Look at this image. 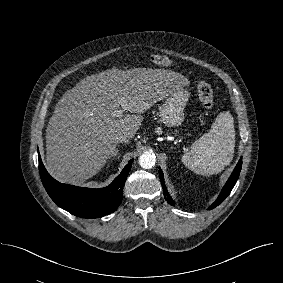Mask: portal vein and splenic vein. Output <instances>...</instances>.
<instances>
[{
    "mask_svg": "<svg viewBox=\"0 0 283 283\" xmlns=\"http://www.w3.org/2000/svg\"><path fill=\"white\" fill-rule=\"evenodd\" d=\"M127 110V108L125 106H122L119 110H116L114 113H115V116L116 117H122L124 112Z\"/></svg>",
    "mask_w": 283,
    "mask_h": 283,
    "instance_id": "18ae733b",
    "label": "portal vein and splenic vein"
}]
</instances>
